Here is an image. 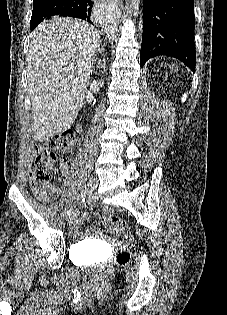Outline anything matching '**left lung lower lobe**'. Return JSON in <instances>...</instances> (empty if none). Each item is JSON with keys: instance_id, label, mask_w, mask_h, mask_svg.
I'll use <instances>...</instances> for the list:
<instances>
[{"instance_id": "obj_1", "label": "left lung lower lobe", "mask_w": 227, "mask_h": 315, "mask_svg": "<svg viewBox=\"0 0 227 315\" xmlns=\"http://www.w3.org/2000/svg\"><path fill=\"white\" fill-rule=\"evenodd\" d=\"M157 55L177 58L195 72L194 0H143L141 67Z\"/></svg>"}]
</instances>
